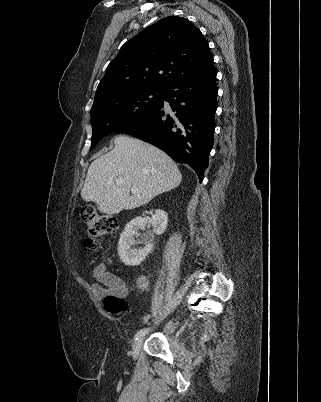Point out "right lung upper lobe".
Listing matches in <instances>:
<instances>
[{
  "instance_id": "right-lung-upper-lobe-1",
  "label": "right lung upper lobe",
  "mask_w": 321,
  "mask_h": 402,
  "mask_svg": "<svg viewBox=\"0 0 321 402\" xmlns=\"http://www.w3.org/2000/svg\"><path fill=\"white\" fill-rule=\"evenodd\" d=\"M213 63L209 45L188 19L170 16L127 41L108 65L94 103L172 82Z\"/></svg>"
}]
</instances>
